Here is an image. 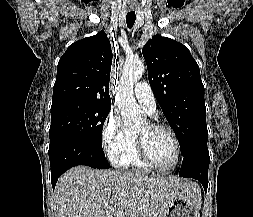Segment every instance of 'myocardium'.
Listing matches in <instances>:
<instances>
[{"mask_svg":"<svg viewBox=\"0 0 253 217\" xmlns=\"http://www.w3.org/2000/svg\"><path fill=\"white\" fill-rule=\"evenodd\" d=\"M148 123H149V126L153 129H164L169 132V134L171 135V137L173 139L174 146H175V159H174L173 164L168 168H162V167H159L158 165H156L147 152L144 138L137 133L136 134V142H137V151H138L139 157L151 169H153L157 172H160V173H170L177 168L179 161H180L181 146H180L179 138H178L176 132L174 131V129L166 123L153 122V121H150Z\"/></svg>","mask_w":253,"mask_h":217,"instance_id":"myocardium-1","label":"myocardium"}]
</instances>
